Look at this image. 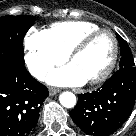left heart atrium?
I'll return each instance as SVG.
<instances>
[{
    "label": "left heart atrium",
    "instance_id": "39dd6f15",
    "mask_svg": "<svg viewBox=\"0 0 136 136\" xmlns=\"http://www.w3.org/2000/svg\"><path fill=\"white\" fill-rule=\"evenodd\" d=\"M47 80L50 84L58 86H79L87 81L72 64L54 70Z\"/></svg>",
    "mask_w": 136,
    "mask_h": 136
}]
</instances>
